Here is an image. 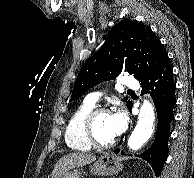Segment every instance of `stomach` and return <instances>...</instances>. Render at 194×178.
Segmentation results:
<instances>
[{
    "instance_id": "1",
    "label": "stomach",
    "mask_w": 194,
    "mask_h": 178,
    "mask_svg": "<svg viewBox=\"0 0 194 178\" xmlns=\"http://www.w3.org/2000/svg\"><path fill=\"white\" fill-rule=\"evenodd\" d=\"M122 158L112 154H103L92 166L91 173L95 175H114L123 169ZM58 178H80V173L76 170L67 171Z\"/></svg>"
}]
</instances>
